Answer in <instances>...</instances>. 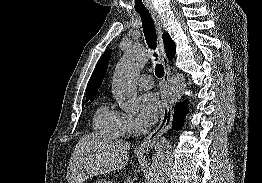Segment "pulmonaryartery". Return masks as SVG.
I'll return each instance as SVG.
<instances>
[{
  "instance_id": "1",
  "label": "pulmonary artery",
  "mask_w": 262,
  "mask_h": 183,
  "mask_svg": "<svg viewBox=\"0 0 262 183\" xmlns=\"http://www.w3.org/2000/svg\"><path fill=\"white\" fill-rule=\"evenodd\" d=\"M138 84L143 89H151L153 87V78L148 74L139 77Z\"/></svg>"
}]
</instances>
